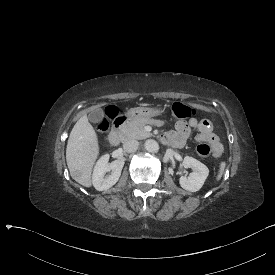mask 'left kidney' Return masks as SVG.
<instances>
[{
    "instance_id": "1",
    "label": "left kidney",
    "mask_w": 275,
    "mask_h": 275,
    "mask_svg": "<svg viewBox=\"0 0 275 275\" xmlns=\"http://www.w3.org/2000/svg\"><path fill=\"white\" fill-rule=\"evenodd\" d=\"M183 166L185 168H192L193 173L186 177L179 179L180 186L189 192H197L203 186L208 174V168L201 162L192 157H185L183 160Z\"/></svg>"
}]
</instances>
